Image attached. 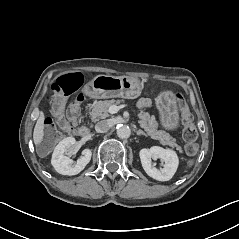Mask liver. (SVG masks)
<instances>
[{
    "mask_svg": "<svg viewBox=\"0 0 239 239\" xmlns=\"http://www.w3.org/2000/svg\"><path fill=\"white\" fill-rule=\"evenodd\" d=\"M44 113L41 111L40 116L36 122L33 132L34 144L38 145L42 142L44 136Z\"/></svg>",
    "mask_w": 239,
    "mask_h": 239,
    "instance_id": "6515ba94",
    "label": "liver"
}]
</instances>
